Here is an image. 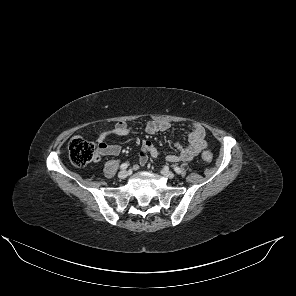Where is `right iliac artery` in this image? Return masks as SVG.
Segmentation results:
<instances>
[{
	"label": "right iliac artery",
	"mask_w": 296,
	"mask_h": 296,
	"mask_svg": "<svg viewBox=\"0 0 296 296\" xmlns=\"http://www.w3.org/2000/svg\"><path fill=\"white\" fill-rule=\"evenodd\" d=\"M128 166H129L128 163H123V164L120 166V169L124 170V169H126Z\"/></svg>",
	"instance_id": "obj_1"
}]
</instances>
